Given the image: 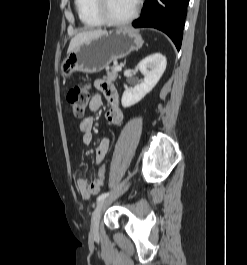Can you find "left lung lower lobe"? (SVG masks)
<instances>
[{
	"label": "left lung lower lobe",
	"instance_id": "left-lung-lower-lobe-1",
	"mask_svg": "<svg viewBox=\"0 0 247 265\" xmlns=\"http://www.w3.org/2000/svg\"><path fill=\"white\" fill-rule=\"evenodd\" d=\"M189 0H145L141 16L132 25L166 33L180 50Z\"/></svg>",
	"mask_w": 247,
	"mask_h": 265
}]
</instances>
